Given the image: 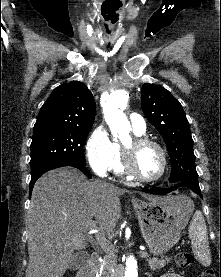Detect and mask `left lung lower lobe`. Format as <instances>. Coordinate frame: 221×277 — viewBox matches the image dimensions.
Here are the masks:
<instances>
[{"label": "left lung lower lobe", "instance_id": "0a47b994", "mask_svg": "<svg viewBox=\"0 0 221 277\" xmlns=\"http://www.w3.org/2000/svg\"><path fill=\"white\" fill-rule=\"evenodd\" d=\"M179 187H188L191 190H193L195 193H197L200 197L201 195V190L199 187V184L196 183H188V182H178L172 185L170 188H143L142 191L150 194H166L170 193L173 190H176Z\"/></svg>", "mask_w": 221, "mask_h": 277}]
</instances>
